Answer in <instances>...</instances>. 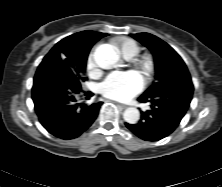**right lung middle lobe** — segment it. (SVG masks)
Segmentation results:
<instances>
[{
	"mask_svg": "<svg viewBox=\"0 0 222 187\" xmlns=\"http://www.w3.org/2000/svg\"><path fill=\"white\" fill-rule=\"evenodd\" d=\"M87 56L88 55L86 53H79L78 51L52 55L47 54L40 66L44 65L46 62L60 60L72 71V73L79 81H85L86 78L82 76L86 70Z\"/></svg>",
	"mask_w": 222,
	"mask_h": 187,
	"instance_id": "1",
	"label": "right lung middle lobe"
}]
</instances>
